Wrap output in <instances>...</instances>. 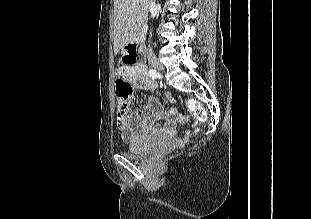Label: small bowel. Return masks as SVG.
<instances>
[{
	"label": "small bowel",
	"instance_id": "obj_1",
	"mask_svg": "<svg viewBox=\"0 0 311 219\" xmlns=\"http://www.w3.org/2000/svg\"><path fill=\"white\" fill-rule=\"evenodd\" d=\"M118 73L125 75L135 88L153 91L157 83L147 74L143 64L134 66H120ZM170 102H174L169 97ZM189 118L177 113L166 112L155 95H151L147 103L138 111H131L117 117V126L125 142L131 143L147 136L161 137L165 140L176 138V124H187Z\"/></svg>",
	"mask_w": 311,
	"mask_h": 219
}]
</instances>
